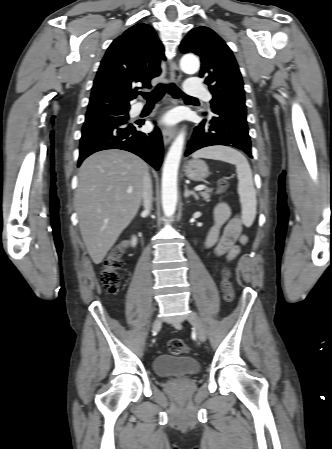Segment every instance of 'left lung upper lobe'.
Segmentation results:
<instances>
[{"instance_id":"5c2ea615","label":"left lung upper lobe","mask_w":332,"mask_h":449,"mask_svg":"<svg viewBox=\"0 0 332 449\" xmlns=\"http://www.w3.org/2000/svg\"><path fill=\"white\" fill-rule=\"evenodd\" d=\"M180 50L200 56V77L205 79L213 95L210 101L212 111L246 115L239 67L231 49L213 30L205 26L191 30L182 41Z\"/></svg>"}]
</instances>
